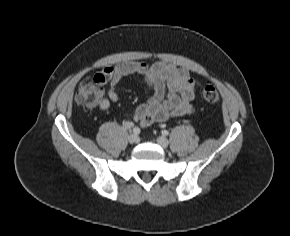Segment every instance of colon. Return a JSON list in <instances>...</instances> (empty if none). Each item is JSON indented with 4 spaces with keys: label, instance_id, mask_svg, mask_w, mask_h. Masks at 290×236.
<instances>
[{
    "label": "colon",
    "instance_id": "1",
    "mask_svg": "<svg viewBox=\"0 0 290 236\" xmlns=\"http://www.w3.org/2000/svg\"><path fill=\"white\" fill-rule=\"evenodd\" d=\"M103 80L98 77L85 78L77 87L76 102L88 108L95 107L102 91ZM201 96L207 103H216L220 99L218 90L212 85L201 88Z\"/></svg>",
    "mask_w": 290,
    "mask_h": 236
}]
</instances>
